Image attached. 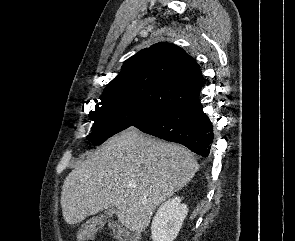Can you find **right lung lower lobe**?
Instances as JSON below:
<instances>
[{
  "label": "right lung lower lobe",
  "instance_id": "obj_1",
  "mask_svg": "<svg viewBox=\"0 0 295 241\" xmlns=\"http://www.w3.org/2000/svg\"><path fill=\"white\" fill-rule=\"evenodd\" d=\"M164 140L181 143L207 157L213 140V127L203 112L199 97L164 111L157 119L138 128Z\"/></svg>",
  "mask_w": 295,
  "mask_h": 241
}]
</instances>
